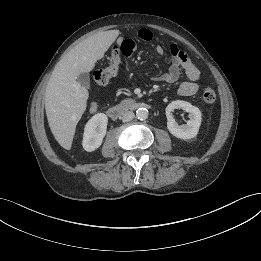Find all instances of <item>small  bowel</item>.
<instances>
[{"label": "small bowel", "instance_id": "1", "mask_svg": "<svg viewBox=\"0 0 261 261\" xmlns=\"http://www.w3.org/2000/svg\"><path fill=\"white\" fill-rule=\"evenodd\" d=\"M138 39L143 42H150L154 38V34L150 29L142 28L138 31ZM121 53L125 57H130L136 50V42L132 39L119 38L116 42ZM155 51L164 55L166 49L162 46H156ZM170 54L171 64L167 73L161 74L156 77L157 81L174 83L179 80L182 73L187 77V81H183L179 84L178 94L181 96H192L198 91V80L200 78V71L196 65L191 61L188 54L180 50L176 44H170L168 46ZM97 110V104L93 103L90 106V111L95 112Z\"/></svg>", "mask_w": 261, "mask_h": 261}]
</instances>
